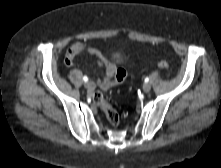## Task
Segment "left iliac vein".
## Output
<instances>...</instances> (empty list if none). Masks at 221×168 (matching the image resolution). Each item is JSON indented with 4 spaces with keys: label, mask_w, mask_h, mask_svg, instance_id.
<instances>
[{
    "label": "left iliac vein",
    "mask_w": 221,
    "mask_h": 168,
    "mask_svg": "<svg viewBox=\"0 0 221 168\" xmlns=\"http://www.w3.org/2000/svg\"><path fill=\"white\" fill-rule=\"evenodd\" d=\"M150 90H151V85L148 84V83H145V84L143 85V91H144L145 93H148Z\"/></svg>",
    "instance_id": "obj_1"
}]
</instances>
